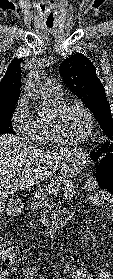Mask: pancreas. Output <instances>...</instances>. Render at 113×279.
<instances>
[{"label":"pancreas","mask_w":113,"mask_h":279,"mask_svg":"<svg viewBox=\"0 0 113 279\" xmlns=\"http://www.w3.org/2000/svg\"><path fill=\"white\" fill-rule=\"evenodd\" d=\"M67 183H69V186L66 185ZM62 184H64V186H62ZM59 189L69 197H73L76 194V187L73 185L72 181L63 180L57 177L34 196L32 203L29 205L30 208L32 210L43 208L48 204L49 196L54 194L55 191L57 192Z\"/></svg>","instance_id":"obj_1"}]
</instances>
